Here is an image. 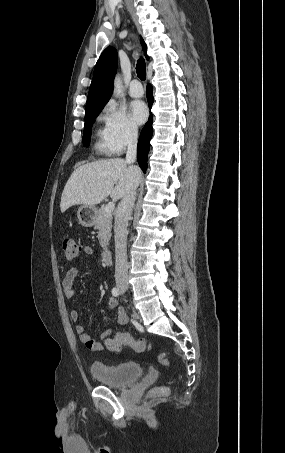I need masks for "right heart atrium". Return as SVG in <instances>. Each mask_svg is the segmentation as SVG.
Wrapping results in <instances>:
<instances>
[{"label":"right heart atrium","mask_w":285,"mask_h":453,"mask_svg":"<svg viewBox=\"0 0 285 453\" xmlns=\"http://www.w3.org/2000/svg\"><path fill=\"white\" fill-rule=\"evenodd\" d=\"M103 121V138L108 154L119 155L136 142L138 128L123 109L114 104L107 105Z\"/></svg>","instance_id":"obj_1"}]
</instances>
